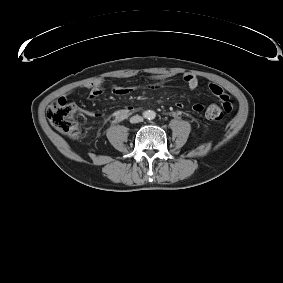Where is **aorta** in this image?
Listing matches in <instances>:
<instances>
[{
  "mask_svg": "<svg viewBox=\"0 0 283 283\" xmlns=\"http://www.w3.org/2000/svg\"><path fill=\"white\" fill-rule=\"evenodd\" d=\"M145 117L149 120H152L156 117V113L152 110L146 111Z\"/></svg>",
  "mask_w": 283,
  "mask_h": 283,
  "instance_id": "obj_1",
  "label": "aorta"
}]
</instances>
